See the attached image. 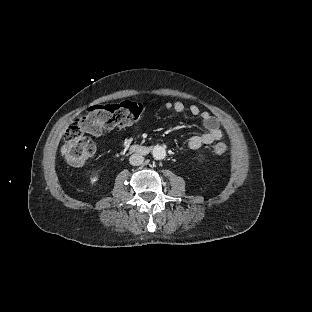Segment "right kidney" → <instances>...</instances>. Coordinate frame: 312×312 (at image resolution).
<instances>
[{
	"label": "right kidney",
	"mask_w": 312,
	"mask_h": 312,
	"mask_svg": "<svg viewBox=\"0 0 312 312\" xmlns=\"http://www.w3.org/2000/svg\"><path fill=\"white\" fill-rule=\"evenodd\" d=\"M97 180H98V177H97V176L92 177V178L90 179L91 184H94Z\"/></svg>",
	"instance_id": "right-kidney-1"
}]
</instances>
